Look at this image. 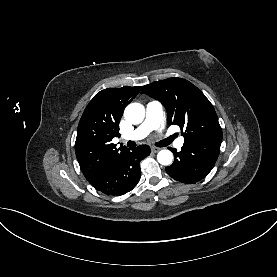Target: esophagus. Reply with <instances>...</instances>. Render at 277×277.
Listing matches in <instances>:
<instances>
[{"instance_id": "1", "label": "esophagus", "mask_w": 277, "mask_h": 277, "mask_svg": "<svg viewBox=\"0 0 277 277\" xmlns=\"http://www.w3.org/2000/svg\"><path fill=\"white\" fill-rule=\"evenodd\" d=\"M160 150L158 147H151V151L157 153Z\"/></svg>"}]
</instances>
